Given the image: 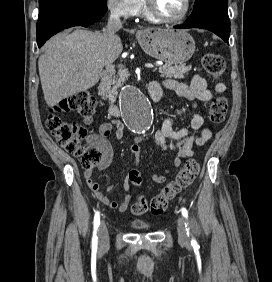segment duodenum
I'll use <instances>...</instances> for the list:
<instances>
[{
	"mask_svg": "<svg viewBox=\"0 0 272 282\" xmlns=\"http://www.w3.org/2000/svg\"><path fill=\"white\" fill-rule=\"evenodd\" d=\"M113 77V69H106L103 71L100 79V95L103 100L107 103L108 114L112 117L118 118L121 114L120 109L115 101L108 98L106 89ZM148 94L153 103H158L162 97V87L155 81H149L147 85Z\"/></svg>",
	"mask_w": 272,
	"mask_h": 282,
	"instance_id": "duodenum-1",
	"label": "duodenum"
}]
</instances>
